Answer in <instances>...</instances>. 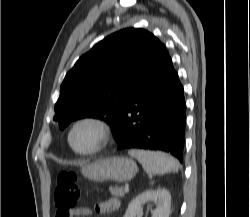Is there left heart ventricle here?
<instances>
[{"label":"left heart ventricle","mask_w":250,"mask_h":217,"mask_svg":"<svg viewBox=\"0 0 250 217\" xmlns=\"http://www.w3.org/2000/svg\"><path fill=\"white\" fill-rule=\"evenodd\" d=\"M72 143L73 146L79 150H85L93 147L96 143L95 129L89 125L78 127L72 135Z\"/></svg>","instance_id":"b2bd125f"}]
</instances>
